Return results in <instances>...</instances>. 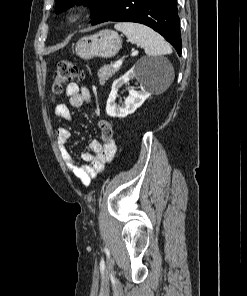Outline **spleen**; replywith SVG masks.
<instances>
[{
  "mask_svg": "<svg viewBox=\"0 0 247 296\" xmlns=\"http://www.w3.org/2000/svg\"><path fill=\"white\" fill-rule=\"evenodd\" d=\"M115 29L121 31L132 44H136L145 50L148 56H161L172 53L170 45L164 38L151 28L132 22H119L115 24ZM169 83L174 78V72L169 66Z\"/></svg>",
  "mask_w": 247,
  "mask_h": 296,
  "instance_id": "3e777b00",
  "label": "spleen"
}]
</instances>
